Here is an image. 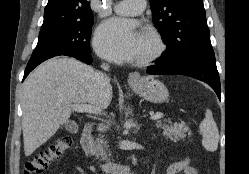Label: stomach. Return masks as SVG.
I'll return each instance as SVG.
<instances>
[{
    "mask_svg": "<svg viewBox=\"0 0 249 174\" xmlns=\"http://www.w3.org/2000/svg\"><path fill=\"white\" fill-rule=\"evenodd\" d=\"M130 86L141 97L152 103H163L169 97L166 86L151 77H140L138 81L130 83Z\"/></svg>",
    "mask_w": 249,
    "mask_h": 174,
    "instance_id": "0dacf381",
    "label": "stomach"
}]
</instances>
